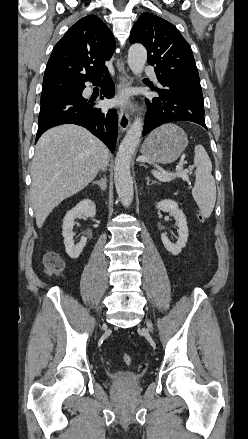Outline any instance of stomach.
<instances>
[{"label":"stomach","mask_w":248,"mask_h":439,"mask_svg":"<svg viewBox=\"0 0 248 439\" xmlns=\"http://www.w3.org/2000/svg\"><path fill=\"white\" fill-rule=\"evenodd\" d=\"M188 144L187 135L175 124H165L154 130L143 142L141 153L161 164L177 160Z\"/></svg>","instance_id":"1"}]
</instances>
